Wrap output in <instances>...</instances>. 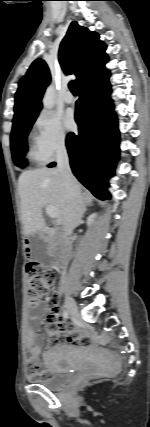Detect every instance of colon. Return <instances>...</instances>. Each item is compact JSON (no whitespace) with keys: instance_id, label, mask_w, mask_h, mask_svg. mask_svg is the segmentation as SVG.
Instances as JSON below:
<instances>
[{"instance_id":"5ec220e1","label":"colon","mask_w":150,"mask_h":427,"mask_svg":"<svg viewBox=\"0 0 150 427\" xmlns=\"http://www.w3.org/2000/svg\"><path fill=\"white\" fill-rule=\"evenodd\" d=\"M27 294L32 302L47 295L56 279L53 270L43 267L36 261L26 264Z\"/></svg>"}]
</instances>
